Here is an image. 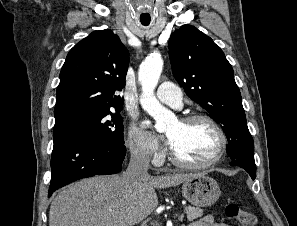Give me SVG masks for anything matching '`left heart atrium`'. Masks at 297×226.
I'll use <instances>...</instances> for the list:
<instances>
[{
  "label": "left heart atrium",
  "instance_id": "1",
  "mask_svg": "<svg viewBox=\"0 0 297 226\" xmlns=\"http://www.w3.org/2000/svg\"><path fill=\"white\" fill-rule=\"evenodd\" d=\"M168 144H170L172 146V140L168 137V140H167Z\"/></svg>",
  "mask_w": 297,
  "mask_h": 226
}]
</instances>
